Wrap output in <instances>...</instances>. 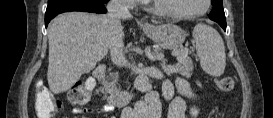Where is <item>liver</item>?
Returning <instances> with one entry per match:
<instances>
[{"instance_id":"liver-1","label":"liver","mask_w":273,"mask_h":118,"mask_svg":"<svg viewBox=\"0 0 273 118\" xmlns=\"http://www.w3.org/2000/svg\"><path fill=\"white\" fill-rule=\"evenodd\" d=\"M126 18L130 16L122 17ZM114 39V24L108 16L67 12L54 18L48 30L47 80L51 92L67 91L82 74L93 70L107 55Z\"/></svg>"}]
</instances>
